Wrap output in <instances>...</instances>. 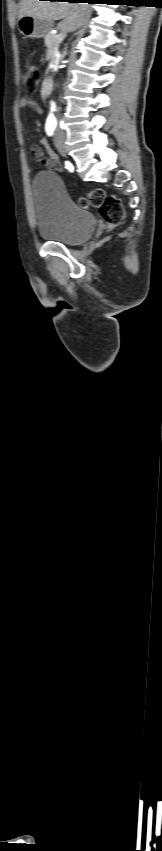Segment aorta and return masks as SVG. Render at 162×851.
I'll return each instance as SVG.
<instances>
[{
  "label": "aorta",
  "instance_id": "obj_1",
  "mask_svg": "<svg viewBox=\"0 0 162 851\" xmlns=\"http://www.w3.org/2000/svg\"><path fill=\"white\" fill-rule=\"evenodd\" d=\"M51 119H53V115H52V114L49 116V120H51Z\"/></svg>",
  "mask_w": 162,
  "mask_h": 851
}]
</instances>
